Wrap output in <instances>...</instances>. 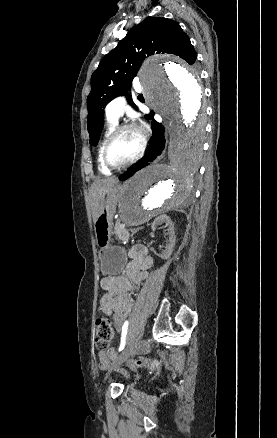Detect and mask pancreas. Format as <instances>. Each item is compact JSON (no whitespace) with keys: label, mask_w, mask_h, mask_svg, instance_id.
<instances>
[{"label":"pancreas","mask_w":277,"mask_h":438,"mask_svg":"<svg viewBox=\"0 0 277 438\" xmlns=\"http://www.w3.org/2000/svg\"><path fill=\"white\" fill-rule=\"evenodd\" d=\"M126 232H127V230H125L124 228H117V229L115 230V235H116L117 237L125 238V236H126Z\"/></svg>","instance_id":"pancreas-1"}]
</instances>
